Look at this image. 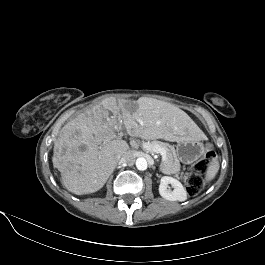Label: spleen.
<instances>
[{
    "label": "spleen",
    "mask_w": 265,
    "mask_h": 265,
    "mask_svg": "<svg viewBox=\"0 0 265 265\" xmlns=\"http://www.w3.org/2000/svg\"><path fill=\"white\" fill-rule=\"evenodd\" d=\"M219 170V162L216 159H213L207 169L205 182H209L216 176L217 172Z\"/></svg>",
    "instance_id": "1"
}]
</instances>
